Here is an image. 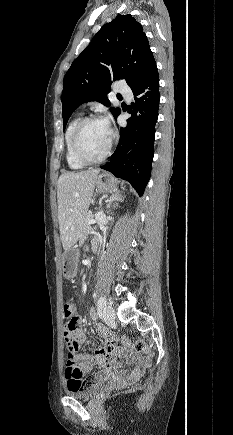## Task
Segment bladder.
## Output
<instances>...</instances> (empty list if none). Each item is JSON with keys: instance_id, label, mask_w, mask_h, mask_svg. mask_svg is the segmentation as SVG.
I'll list each match as a JSON object with an SVG mask.
<instances>
[{"instance_id": "31cf9c89", "label": "bladder", "mask_w": 233, "mask_h": 435, "mask_svg": "<svg viewBox=\"0 0 233 435\" xmlns=\"http://www.w3.org/2000/svg\"><path fill=\"white\" fill-rule=\"evenodd\" d=\"M103 385L102 382H96L91 385H89L87 388L79 390L75 389L74 385L67 384V388L65 390V393L69 397L79 398V399H90L92 398L96 390L100 388Z\"/></svg>"}]
</instances>
